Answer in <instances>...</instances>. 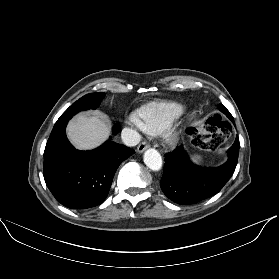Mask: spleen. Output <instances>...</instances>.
Returning a JSON list of instances; mask_svg holds the SVG:
<instances>
[{
  "label": "spleen",
  "instance_id": "obj_1",
  "mask_svg": "<svg viewBox=\"0 0 279 279\" xmlns=\"http://www.w3.org/2000/svg\"><path fill=\"white\" fill-rule=\"evenodd\" d=\"M191 160L197 164H200L202 162V158L199 155H192Z\"/></svg>",
  "mask_w": 279,
  "mask_h": 279
}]
</instances>
